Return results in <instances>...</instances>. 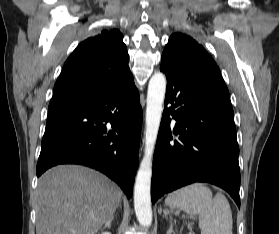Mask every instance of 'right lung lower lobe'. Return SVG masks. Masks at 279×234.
I'll use <instances>...</instances> for the list:
<instances>
[{"label":"right lung lower lobe","instance_id":"98d812e1","mask_svg":"<svg viewBox=\"0 0 279 234\" xmlns=\"http://www.w3.org/2000/svg\"><path fill=\"white\" fill-rule=\"evenodd\" d=\"M141 125L132 75L88 98L49 107L37 176L58 164L86 165L106 174L131 198Z\"/></svg>","mask_w":279,"mask_h":234}]
</instances>
